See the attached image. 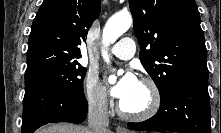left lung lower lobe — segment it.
<instances>
[{"instance_id":"1","label":"left lung lower lobe","mask_w":221,"mask_h":133,"mask_svg":"<svg viewBox=\"0 0 221 133\" xmlns=\"http://www.w3.org/2000/svg\"><path fill=\"white\" fill-rule=\"evenodd\" d=\"M208 80L186 78L161 96L155 116L141 123H128L138 131L211 133Z\"/></svg>"}]
</instances>
